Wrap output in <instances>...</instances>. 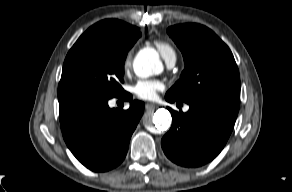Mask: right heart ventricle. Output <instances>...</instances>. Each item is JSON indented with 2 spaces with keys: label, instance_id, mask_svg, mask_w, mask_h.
<instances>
[{
  "label": "right heart ventricle",
  "instance_id": "1",
  "mask_svg": "<svg viewBox=\"0 0 292 192\" xmlns=\"http://www.w3.org/2000/svg\"><path fill=\"white\" fill-rule=\"evenodd\" d=\"M155 46L167 63L171 60H176V51L170 43L157 40L155 41Z\"/></svg>",
  "mask_w": 292,
  "mask_h": 192
}]
</instances>
